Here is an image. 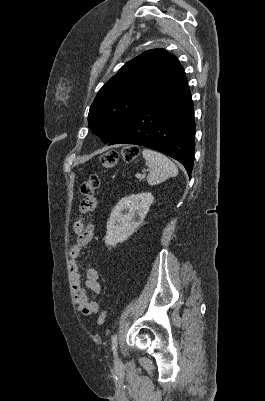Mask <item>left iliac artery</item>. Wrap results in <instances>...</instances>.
Listing matches in <instances>:
<instances>
[{
    "label": "left iliac artery",
    "instance_id": "44dca946",
    "mask_svg": "<svg viewBox=\"0 0 265 401\" xmlns=\"http://www.w3.org/2000/svg\"><path fill=\"white\" fill-rule=\"evenodd\" d=\"M112 350H113L114 355H116V351H117V334H115L112 337Z\"/></svg>",
    "mask_w": 265,
    "mask_h": 401
}]
</instances>
